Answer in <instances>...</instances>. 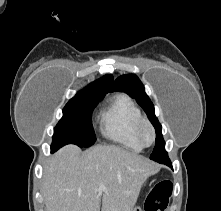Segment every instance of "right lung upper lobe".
Masks as SVG:
<instances>
[{
    "mask_svg": "<svg viewBox=\"0 0 221 211\" xmlns=\"http://www.w3.org/2000/svg\"><path fill=\"white\" fill-rule=\"evenodd\" d=\"M113 86V76L112 75H105L99 80H96L90 83L86 88L82 91H79L75 98L79 97H98V96H105L106 93L112 91ZM71 99V100H72Z\"/></svg>",
    "mask_w": 221,
    "mask_h": 211,
    "instance_id": "cb5924a9",
    "label": "right lung upper lobe"
}]
</instances>
